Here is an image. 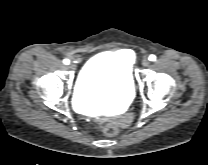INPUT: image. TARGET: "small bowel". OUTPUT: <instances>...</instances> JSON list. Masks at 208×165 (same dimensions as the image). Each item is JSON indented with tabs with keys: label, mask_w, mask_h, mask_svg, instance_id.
Here are the masks:
<instances>
[{
	"label": "small bowel",
	"mask_w": 208,
	"mask_h": 165,
	"mask_svg": "<svg viewBox=\"0 0 208 165\" xmlns=\"http://www.w3.org/2000/svg\"><path fill=\"white\" fill-rule=\"evenodd\" d=\"M120 52H121L123 59L126 63H129V61L132 60V57L128 51L121 50Z\"/></svg>",
	"instance_id": "obj_1"
}]
</instances>
